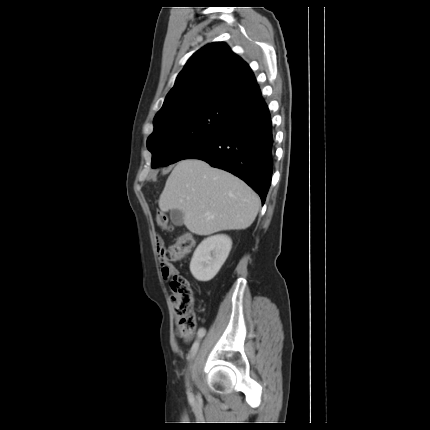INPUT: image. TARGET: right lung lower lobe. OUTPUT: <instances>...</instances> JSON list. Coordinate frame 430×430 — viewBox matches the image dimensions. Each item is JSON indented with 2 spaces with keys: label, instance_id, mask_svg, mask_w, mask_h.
I'll use <instances>...</instances> for the list:
<instances>
[{
  "label": "right lung lower lobe",
  "instance_id": "1",
  "mask_svg": "<svg viewBox=\"0 0 430 430\" xmlns=\"http://www.w3.org/2000/svg\"><path fill=\"white\" fill-rule=\"evenodd\" d=\"M273 146L270 113L260 96L245 109L235 111L223 131L185 159L204 160L238 176L259 194L264 204L272 178Z\"/></svg>",
  "mask_w": 430,
  "mask_h": 430
}]
</instances>
